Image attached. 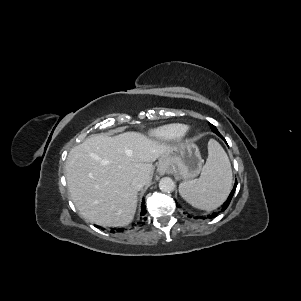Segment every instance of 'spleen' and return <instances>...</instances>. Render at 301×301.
<instances>
[{"label":"spleen","instance_id":"obj_1","mask_svg":"<svg viewBox=\"0 0 301 301\" xmlns=\"http://www.w3.org/2000/svg\"><path fill=\"white\" fill-rule=\"evenodd\" d=\"M232 187V171L229 158L215 141L208 142V158L198 179L186 180L179 185L181 197L190 205L211 211L227 198Z\"/></svg>","mask_w":301,"mask_h":301}]
</instances>
